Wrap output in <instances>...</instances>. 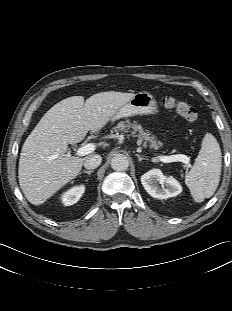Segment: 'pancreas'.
Segmentation results:
<instances>
[{"label":"pancreas","instance_id":"cf45deb5","mask_svg":"<svg viewBox=\"0 0 232 311\" xmlns=\"http://www.w3.org/2000/svg\"><path fill=\"white\" fill-rule=\"evenodd\" d=\"M114 132H126L131 131L132 136L137 137L138 141L142 143L144 141V145L149 144L150 148L157 149L161 146L160 142H157L153 136H150L148 131H144L142 126L137 124L136 122L131 123L129 120L120 121L114 128Z\"/></svg>","mask_w":232,"mask_h":311}]
</instances>
